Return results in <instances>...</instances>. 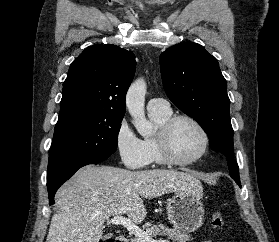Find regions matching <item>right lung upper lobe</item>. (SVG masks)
Listing matches in <instances>:
<instances>
[{"label": "right lung upper lobe", "mask_w": 279, "mask_h": 242, "mask_svg": "<svg viewBox=\"0 0 279 242\" xmlns=\"http://www.w3.org/2000/svg\"><path fill=\"white\" fill-rule=\"evenodd\" d=\"M136 68L132 52L113 44L85 49L70 65L63 85L60 114L83 110L123 117L125 95Z\"/></svg>", "instance_id": "1"}]
</instances>
